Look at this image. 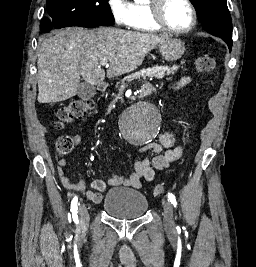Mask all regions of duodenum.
Returning <instances> with one entry per match:
<instances>
[{"instance_id": "410a0bca", "label": "duodenum", "mask_w": 256, "mask_h": 267, "mask_svg": "<svg viewBox=\"0 0 256 267\" xmlns=\"http://www.w3.org/2000/svg\"><path fill=\"white\" fill-rule=\"evenodd\" d=\"M152 86L151 82H143L142 85L138 86V89L136 90L137 98L138 99H147L148 93H149V87ZM97 89H110V84L108 81H99L97 84Z\"/></svg>"}]
</instances>
